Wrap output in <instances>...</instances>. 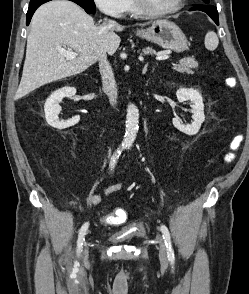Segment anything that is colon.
<instances>
[{
    "label": "colon",
    "instance_id": "colon-1",
    "mask_svg": "<svg viewBox=\"0 0 249 294\" xmlns=\"http://www.w3.org/2000/svg\"><path fill=\"white\" fill-rule=\"evenodd\" d=\"M225 82H226V84L228 85V86H232V79L231 78H226L225 79ZM239 141V137L238 136H236L235 138H234V141H233V143H234V145H235V147H236V144H237V142ZM232 159V155L230 154V153H227L226 155H225V160L226 161H230ZM125 214V213H124ZM125 216H126V214H125Z\"/></svg>",
    "mask_w": 249,
    "mask_h": 294
}]
</instances>
